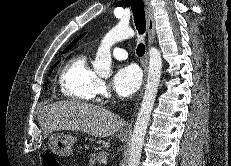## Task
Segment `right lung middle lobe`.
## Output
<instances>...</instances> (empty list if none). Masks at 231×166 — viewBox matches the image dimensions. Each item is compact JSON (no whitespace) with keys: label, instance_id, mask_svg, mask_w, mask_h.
I'll return each instance as SVG.
<instances>
[{"label":"right lung middle lobe","instance_id":"obj_1","mask_svg":"<svg viewBox=\"0 0 231 166\" xmlns=\"http://www.w3.org/2000/svg\"><path fill=\"white\" fill-rule=\"evenodd\" d=\"M63 53H66V52H63ZM58 63H59V62H57V63L52 67L50 73L52 72V70L54 69V67H55ZM50 73H49V74H50Z\"/></svg>","mask_w":231,"mask_h":166}]
</instances>
